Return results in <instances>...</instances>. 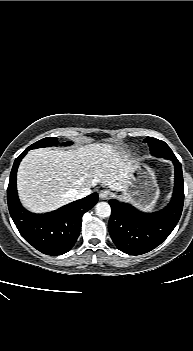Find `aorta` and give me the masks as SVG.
<instances>
[{
	"label": "aorta",
	"mask_w": 193,
	"mask_h": 351,
	"mask_svg": "<svg viewBox=\"0 0 193 351\" xmlns=\"http://www.w3.org/2000/svg\"><path fill=\"white\" fill-rule=\"evenodd\" d=\"M96 215L100 218H107L111 215V207L107 202H99L95 206Z\"/></svg>",
	"instance_id": "762f6f07"
}]
</instances>
